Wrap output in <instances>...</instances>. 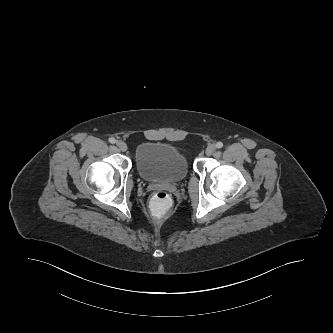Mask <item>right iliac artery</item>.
Here are the masks:
<instances>
[{
	"label": "right iliac artery",
	"instance_id": "obj_1",
	"mask_svg": "<svg viewBox=\"0 0 333 333\" xmlns=\"http://www.w3.org/2000/svg\"><path fill=\"white\" fill-rule=\"evenodd\" d=\"M109 142L112 143V144H114L116 142V139L113 138V137H111V138H109Z\"/></svg>",
	"mask_w": 333,
	"mask_h": 333
}]
</instances>
